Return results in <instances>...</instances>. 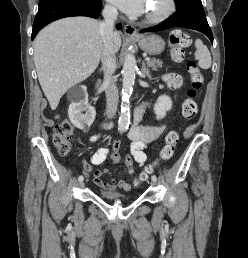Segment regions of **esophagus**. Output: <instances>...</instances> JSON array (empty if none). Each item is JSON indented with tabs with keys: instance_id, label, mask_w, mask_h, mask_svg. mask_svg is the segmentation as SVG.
I'll use <instances>...</instances> for the list:
<instances>
[{
	"instance_id": "obj_1",
	"label": "esophagus",
	"mask_w": 248,
	"mask_h": 258,
	"mask_svg": "<svg viewBox=\"0 0 248 258\" xmlns=\"http://www.w3.org/2000/svg\"><path fill=\"white\" fill-rule=\"evenodd\" d=\"M124 33L127 36H136L137 35V29L135 28V26L131 25V24H127L124 26Z\"/></svg>"
}]
</instances>
